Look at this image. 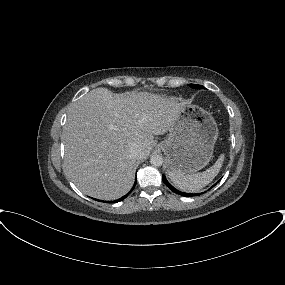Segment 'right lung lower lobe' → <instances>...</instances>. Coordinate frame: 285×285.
<instances>
[{"mask_svg": "<svg viewBox=\"0 0 285 285\" xmlns=\"http://www.w3.org/2000/svg\"><path fill=\"white\" fill-rule=\"evenodd\" d=\"M136 183H137V180H135L134 186L132 187V189L130 190V192H129L127 195H125V196H123V197H121L120 199L115 200V201H111V202L106 201V203H117V202H119V201H122L123 199H125V198L133 191V189H134Z\"/></svg>", "mask_w": 285, "mask_h": 285, "instance_id": "obj_1", "label": "right lung lower lobe"}]
</instances>
